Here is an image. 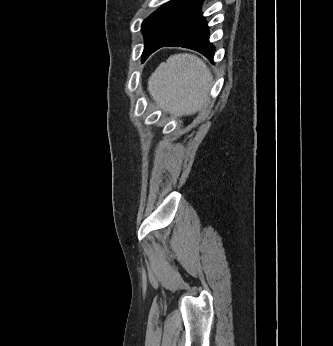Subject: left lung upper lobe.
<instances>
[{
	"instance_id": "left-lung-upper-lobe-1",
	"label": "left lung upper lobe",
	"mask_w": 333,
	"mask_h": 346,
	"mask_svg": "<svg viewBox=\"0 0 333 346\" xmlns=\"http://www.w3.org/2000/svg\"><path fill=\"white\" fill-rule=\"evenodd\" d=\"M204 0H171L142 23L145 48L142 59L156 43L164 41L201 11Z\"/></svg>"
}]
</instances>
